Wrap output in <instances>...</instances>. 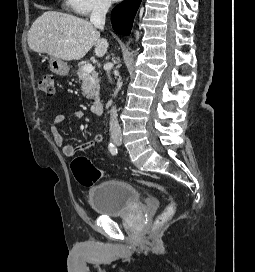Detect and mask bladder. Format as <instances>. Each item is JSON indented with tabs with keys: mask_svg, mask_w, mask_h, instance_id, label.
<instances>
[{
	"mask_svg": "<svg viewBox=\"0 0 255 272\" xmlns=\"http://www.w3.org/2000/svg\"><path fill=\"white\" fill-rule=\"evenodd\" d=\"M88 201L96 214L114 217L139 205L140 196L135 187L124 181L105 180L88 191Z\"/></svg>",
	"mask_w": 255,
	"mask_h": 272,
	"instance_id": "31cf9c89",
	"label": "bladder"
}]
</instances>
